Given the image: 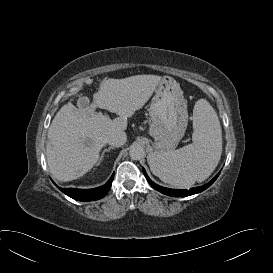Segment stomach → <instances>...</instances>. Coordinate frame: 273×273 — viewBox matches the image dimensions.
Returning a JSON list of instances; mask_svg holds the SVG:
<instances>
[{
    "label": "stomach",
    "mask_w": 273,
    "mask_h": 273,
    "mask_svg": "<svg viewBox=\"0 0 273 273\" xmlns=\"http://www.w3.org/2000/svg\"><path fill=\"white\" fill-rule=\"evenodd\" d=\"M149 115L150 135L157 152L173 151L185 134L188 124L187 105L179 83L165 76L159 82L152 99Z\"/></svg>",
    "instance_id": "stomach-1"
}]
</instances>
